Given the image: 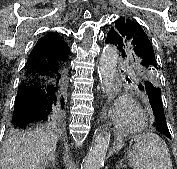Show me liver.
Listing matches in <instances>:
<instances>
[{"mask_svg": "<svg viewBox=\"0 0 177 169\" xmlns=\"http://www.w3.org/2000/svg\"><path fill=\"white\" fill-rule=\"evenodd\" d=\"M58 138L49 127L17 133L3 146L0 169H44L55 159Z\"/></svg>", "mask_w": 177, "mask_h": 169, "instance_id": "obj_1", "label": "liver"}]
</instances>
